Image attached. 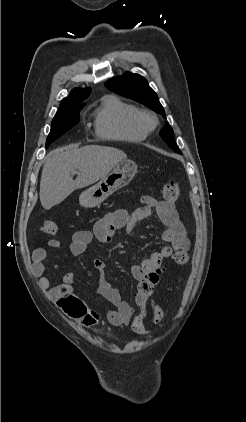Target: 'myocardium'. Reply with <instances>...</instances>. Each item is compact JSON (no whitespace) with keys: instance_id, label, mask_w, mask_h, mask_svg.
I'll return each mask as SVG.
<instances>
[{"instance_id":"obj_1","label":"myocardium","mask_w":246,"mask_h":422,"mask_svg":"<svg viewBox=\"0 0 246 422\" xmlns=\"http://www.w3.org/2000/svg\"><path fill=\"white\" fill-rule=\"evenodd\" d=\"M138 121L147 132L154 130L158 125L157 116L146 110L140 111Z\"/></svg>"}]
</instances>
